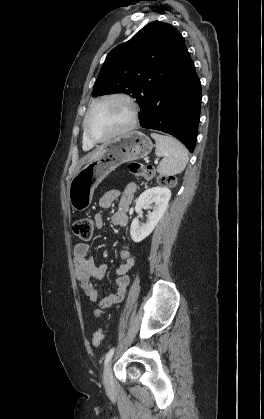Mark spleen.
Instances as JSON below:
<instances>
[{
    "instance_id": "1",
    "label": "spleen",
    "mask_w": 264,
    "mask_h": 419,
    "mask_svg": "<svg viewBox=\"0 0 264 419\" xmlns=\"http://www.w3.org/2000/svg\"><path fill=\"white\" fill-rule=\"evenodd\" d=\"M151 137L156 141L155 154L163 157L157 167L158 173L164 176L181 173L189 160L188 152L183 144L171 136L151 133Z\"/></svg>"
}]
</instances>
